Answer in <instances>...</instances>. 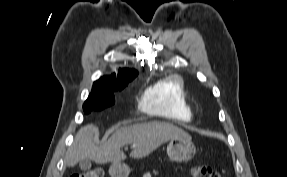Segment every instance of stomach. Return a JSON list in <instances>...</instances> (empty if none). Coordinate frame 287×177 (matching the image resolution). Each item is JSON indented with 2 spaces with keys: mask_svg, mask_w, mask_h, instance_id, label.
I'll return each instance as SVG.
<instances>
[{
  "mask_svg": "<svg viewBox=\"0 0 287 177\" xmlns=\"http://www.w3.org/2000/svg\"><path fill=\"white\" fill-rule=\"evenodd\" d=\"M196 153V147L191 138L172 139L167 146V154L172 161L187 162L191 160ZM128 165L114 162L109 168L111 177H128L130 174Z\"/></svg>",
  "mask_w": 287,
  "mask_h": 177,
  "instance_id": "1",
  "label": "stomach"
}]
</instances>
